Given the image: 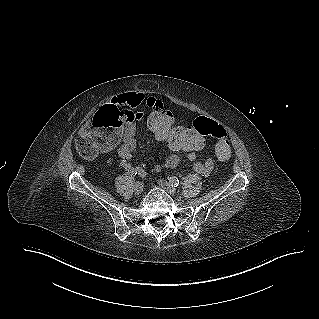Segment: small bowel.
<instances>
[{"label": "small bowel", "instance_id": "small-bowel-1", "mask_svg": "<svg viewBox=\"0 0 319 319\" xmlns=\"http://www.w3.org/2000/svg\"><path fill=\"white\" fill-rule=\"evenodd\" d=\"M142 103L148 107L150 113H167L169 111V106L162 104L155 97L145 98L143 94L137 92L121 94L114 97L110 104L104 108H99L92 116L91 126L82 127L79 130V135L81 137L87 136L91 147L102 153L111 152L121 144L117 148L121 167L127 172L137 169L141 174H146L142 168H132L130 164L132 153L137 145L135 123L137 121L146 122V115L137 108ZM178 126L179 128L185 127L182 125ZM197 135L205 134L197 130ZM186 153L187 159L194 162L193 170L196 173L203 176H210L212 174L214 162L211 158L197 161V153ZM179 162V155L174 153L168 156L164 162L157 164L150 172L174 168Z\"/></svg>", "mask_w": 319, "mask_h": 319}]
</instances>
